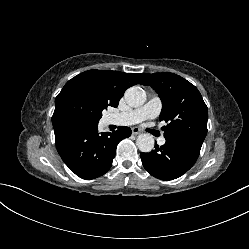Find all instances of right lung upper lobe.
<instances>
[{"instance_id":"1","label":"right lung upper lobe","mask_w":249,"mask_h":249,"mask_svg":"<svg viewBox=\"0 0 249 249\" xmlns=\"http://www.w3.org/2000/svg\"><path fill=\"white\" fill-rule=\"evenodd\" d=\"M144 78L145 74L94 69L75 76L64 87L86 88L106 107H117L125 90L138 83L141 84Z\"/></svg>"}]
</instances>
